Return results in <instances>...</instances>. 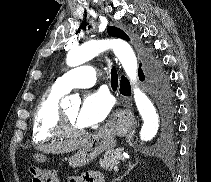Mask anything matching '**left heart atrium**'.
Wrapping results in <instances>:
<instances>
[{
  "label": "left heart atrium",
  "mask_w": 211,
  "mask_h": 182,
  "mask_svg": "<svg viewBox=\"0 0 211 182\" xmlns=\"http://www.w3.org/2000/svg\"><path fill=\"white\" fill-rule=\"evenodd\" d=\"M111 109V99L107 92L98 90L86 94L77 114V122L82 127H91L103 121Z\"/></svg>",
  "instance_id": "1"
}]
</instances>
